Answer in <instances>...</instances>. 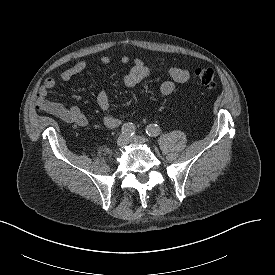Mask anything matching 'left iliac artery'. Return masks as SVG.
<instances>
[{"label": "left iliac artery", "instance_id": "1", "mask_svg": "<svg viewBox=\"0 0 275 275\" xmlns=\"http://www.w3.org/2000/svg\"><path fill=\"white\" fill-rule=\"evenodd\" d=\"M160 128L158 125L156 124H150L146 127V133L148 134V136L150 137H156L160 134Z\"/></svg>", "mask_w": 275, "mask_h": 275}]
</instances>
